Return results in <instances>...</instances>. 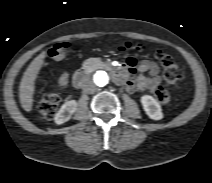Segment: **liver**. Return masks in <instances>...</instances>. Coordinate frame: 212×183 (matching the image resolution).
Wrapping results in <instances>:
<instances>
[{
	"label": "liver",
	"mask_w": 212,
	"mask_h": 183,
	"mask_svg": "<svg viewBox=\"0 0 212 183\" xmlns=\"http://www.w3.org/2000/svg\"><path fill=\"white\" fill-rule=\"evenodd\" d=\"M45 56L46 52H42L30 63L20 82L19 98L22 108L27 112L32 110L35 81L44 64Z\"/></svg>",
	"instance_id": "obj_1"
}]
</instances>
